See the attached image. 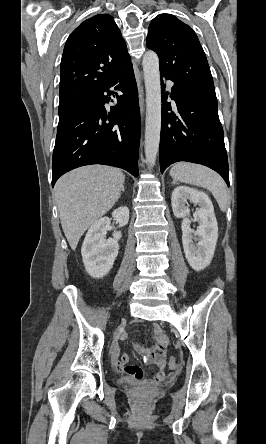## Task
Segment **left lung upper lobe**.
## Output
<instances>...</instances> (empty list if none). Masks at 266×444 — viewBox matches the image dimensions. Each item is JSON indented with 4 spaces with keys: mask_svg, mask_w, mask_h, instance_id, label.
<instances>
[{
    "mask_svg": "<svg viewBox=\"0 0 266 444\" xmlns=\"http://www.w3.org/2000/svg\"><path fill=\"white\" fill-rule=\"evenodd\" d=\"M147 47L159 56L160 72L175 82L214 85L207 58L195 32L171 14L150 23Z\"/></svg>",
    "mask_w": 266,
    "mask_h": 444,
    "instance_id": "obj_1",
    "label": "left lung upper lobe"
}]
</instances>
